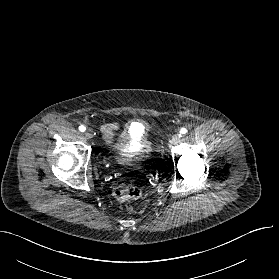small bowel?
Returning <instances> with one entry per match:
<instances>
[{
    "instance_id": "c3829d8e",
    "label": "small bowel",
    "mask_w": 279,
    "mask_h": 279,
    "mask_svg": "<svg viewBox=\"0 0 279 279\" xmlns=\"http://www.w3.org/2000/svg\"><path fill=\"white\" fill-rule=\"evenodd\" d=\"M120 128V124L116 122L101 125L100 131L106 143L112 144L114 142V138L117 135V132L120 130Z\"/></svg>"
}]
</instances>
